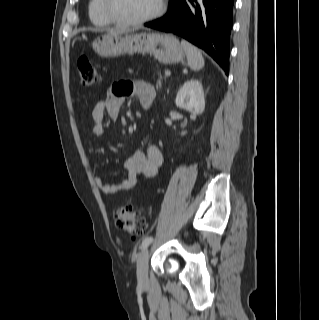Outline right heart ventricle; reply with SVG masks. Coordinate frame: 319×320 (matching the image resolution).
Returning a JSON list of instances; mask_svg holds the SVG:
<instances>
[{"label": "right heart ventricle", "instance_id": "e07e8e85", "mask_svg": "<svg viewBox=\"0 0 319 320\" xmlns=\"http://www.w3.org/2000/svg\"><path fill=\"white\" fill-rule=\"evenodd\" d=\"M91 21L100 27H106L113 24L103 11V0H90L88 6Z\"/></svg>", "mask_w": 319, "mask_h": 320}]
</instances>
